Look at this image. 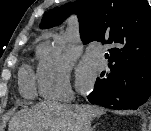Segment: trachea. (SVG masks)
<instances>
[{"label": "trachea", "mask_w": 151, "mask_h": 131, "mask_svg": "<svg viewBox=\"0 0 151 131\" xmlns=\"http://www.w3.org/2000/svg\"><path fill=\"white\" fill-rule=\"evenodd\" d=\"M105 58H106V59L109 58V54H108V53L105 54Z\"/></svg>", "instance_id": "3493384b"}]
</instances>
